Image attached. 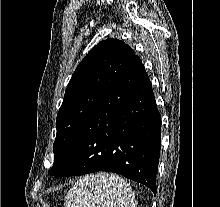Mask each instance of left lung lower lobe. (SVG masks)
Wrapping results in <instances>:
<instances>
[{
    "label": "left lung lower lobe",
    "instance_id": "1",
    "mask_svg": "<svg viewBox=\"0 0 220 207\" xmlns=\"http://www.w3.org/2000/svg\"><path fill=\"white\" fill-rule=\"evenodd\" d=\"M160 144L161 119L152 85L142 61L134 56L48 173L114 172L156 194Z\"/></svg>",
    "mask_w": 220,
    "mask_h": 207
}]
</instances>
